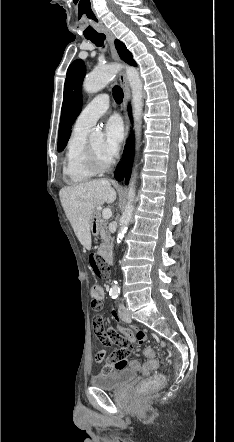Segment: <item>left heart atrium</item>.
Returning a JSON list of instances; mask_svg holds the SVG:
<instances>
[{"label":"left heart atrium","instance_id":"left-heart-atrium-1","mask_svg":"<svg viewBox=\"0 0 234 442\" xmlns=\"http://www.w3.org/2000/svg\"><path fill=\"white\" fill-rule=\"evenodd\" d=\"M104 151L109 159L114 157L124 138V124L118 115L110 116L104 126Z\"/></svg>","mask_w":234,"mask_h":442}]
</instances>
